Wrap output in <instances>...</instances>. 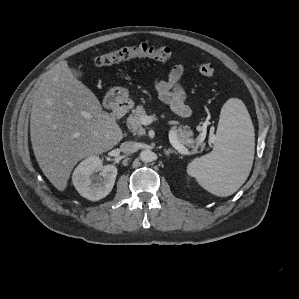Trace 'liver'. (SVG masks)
Returning a JSON list of instances; mask_svg holds the SVG:
<instances>
[{
  "mask_svg": "<svg viewBox=\"0 0 299 299\" xmlns=\"http://www.w3.org/2000/svg\"><path fill=\"white\" fill-rule=\"evenodd\" d=\"M30 136L38 165L59 191L82 158L117 145L123 133L95 94L60 61L40 83L33 99Z\"/></svg>",
  "mask_w": 299,
  "mask_h": 299,
  "instance_id": "1",
  "label": "liver"
}]
</instances>
